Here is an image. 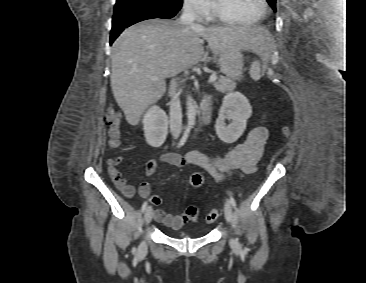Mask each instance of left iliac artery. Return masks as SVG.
Masks as SVG:
<instances>
[{"instance_id":"left-iliac-artery-1","label":"left iliac artery","mask_w":366,"mask_h":283,"mask_svg":"<svg viewBox=\"0 0 366 283\" xmlns=\"http://www.w3.org/2000/svg\"><path fill=\"white\" fill-rule=\"evenodd\" d=\"M229 203L235 208L236 207V202L234 200V198L232 196H230L229 198Z\"/></svg>"}]
</instances>
